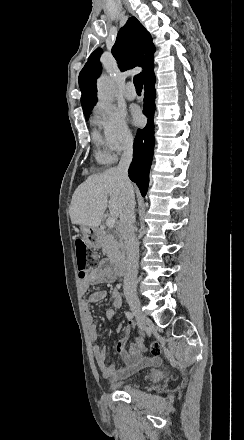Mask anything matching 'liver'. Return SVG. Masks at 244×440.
<instances>
[{
	"mask_svg": "<svg viewBox=\"0 0 244 440\" xmlns=\"http://www.w3.org/2000/svg\"><path fill=\"white\" fill-rule=\"evenodd\" d=\"M123 198L124 192L116 168L88 176L72 196L69 206L71 222L99 228L106 208H109L112 218H119Z\"/></svg>",
	"mask_w": 244,
	"mask_h": 440,
	"instance_id": "obj_1",
	"label": "liver"
}]
</instances>
